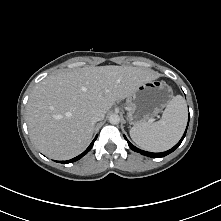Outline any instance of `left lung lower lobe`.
<instances>
[{"label": "left lung lower lobe", "mask_w": 221, "mask_h": 221, "mask_svg": "<svg viewBox=\"0 0 221 221\" xmlns=\"http://www.w3.org/2000/svg\"><path fill=\"white\" fill-rule=\"evenodd\" d=\"M188 127V126H187ZM186 131H187V128L185 130V133L183 134L182 138L180 139V141L173 147L171 148L170 150L168 151H165V152H162V153H152V152H147V151H144V150H141L137 147H135L134 145H132L128 140L127 138L124 136V138L126 139V141L128 142V145L129 147L135 151V152H138V153H141L142 155H145V156H148V157H153V158H160V157H164L170 153H172L174 150H176V148L182 143L185 135H186Z\"/></svg>", "instance_id": "obj_1"}]
</instances>
